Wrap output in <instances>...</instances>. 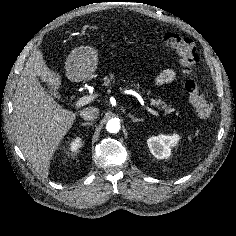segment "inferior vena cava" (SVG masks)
I'll return each instance as SVG.
<instances>
[{
    "mask_svg": "<svg viewBox=\"0 0 236 236\" xmlns=\"http://www.w3.org/2000/svg\"><path fill=\"white\" fill-rule=\"evenodd\" d=\"M99 115V109L95 107H86L80 111V116L84 120H94L98 117Z\"/></svg>",
    "mask_w": 236,
    "mask_h": 236,
    "instance_id": "obj_1",
    "label": "inferior vena cava"
}]
</instances>
